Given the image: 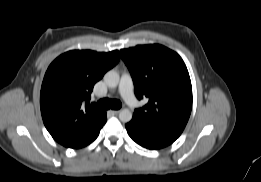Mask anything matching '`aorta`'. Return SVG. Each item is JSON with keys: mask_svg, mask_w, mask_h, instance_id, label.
<instances>
[{"mask_svg": "<svg viewBox=\"0 0 261 182\" xmlns=\"http://www.w3.org/2000/svg\"><path fill=\"white\" fill-rule=\"evenodd\" d=\"M120 76L115 70H110L104 75V82L110 88H115L119 84ZM119 119L123 123H127L132 119V112L129 109H122L119 112Z\"/></svg>", "mask_w": 261, "mask_h": 182, "instance_id": "obj_1", "label": "aorta"}]
</instances>
